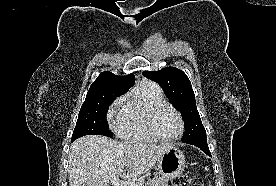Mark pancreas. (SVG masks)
<instances>
[{
    "label": "pancreas",
    "instance_id": "pancreas-1",
    "mask_svg": "<svg viewBox=\"0 0 276 186\" xmlns=\"http://www.w3.org/2000/svg\"><path fill=\"white\" fill-rule=\"evenodd\" d=\"M145 186H168V180L163 176L155 177L149 180Z\"/></svg>",
    "mask_w": 276,
    "mask_h": 186
}]
</instances>
